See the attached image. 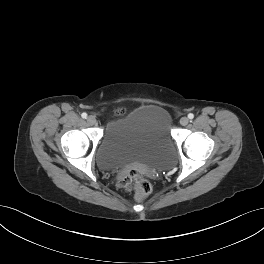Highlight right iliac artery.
Instances as JSON below:
<instances>
[{"label":"right iliac artery","instance_id":"obj_1","mask_svg":"<svg viewBox=\"0 0 264 264\" xmlns=\"http://www.w3.org/2000/svg\"><path fill=\"white\" fill-rule=\"evenodd\" d=\"M81 116H82V118H84V119L87 118V114H86V113H82Z\"/></svg>","mask_w":264,"mask_h":264}]
</instances>
